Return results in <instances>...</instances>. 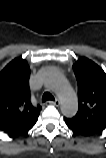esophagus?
<instances>
[{
    "instance_id": "esophagus-1",
    "label": "esophagus",
    "mask_w": 106,
    "mask_h": 158,
    "mask_svg": "<svg viewBox=\"0 0 106 158\" xmlns=\"http://www.w3.org/2000/svg\"><path fill=\"white\" fill-rule=\"evenodd\" d=\"M48 104H53V105H56V106H59L60 105V101L58 99H55L54 101L50 100L47 102Z\"/></svg>"
}]
</instances>
